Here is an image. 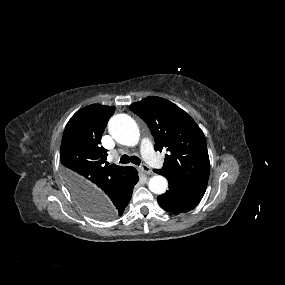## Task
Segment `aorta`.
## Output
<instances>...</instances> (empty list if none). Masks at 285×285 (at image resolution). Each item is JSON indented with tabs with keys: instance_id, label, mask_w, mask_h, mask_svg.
<instances>
[{
	"instance_id": "obj_1",
	"label": "aorta",
	"mask_w": 285,
	"mask_h": 285,
	"mask_svg": "<svg viewBox=\"0 0 285 285\" xmlns=\"http://www.w3.org/2000/svg\"><path fill=\"white\" fill-rule=\"evenodd\" d=\"M109 133L120 144L135 146L140 138V132L135 120L127 114H117L108 124ZM149 190L155 194H163L168 188V181L161 175L150 178Z\"/></svg>"
}]
</instances>
